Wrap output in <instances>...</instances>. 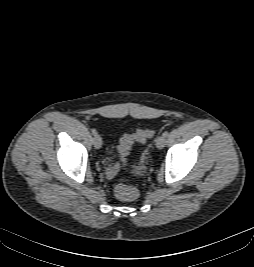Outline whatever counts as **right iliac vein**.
<instances>
[{
  "instance_id": "63e3f726",
  "label": "right iliac vein",
  "mask_w": 254,
  "mask_h": 267,
  "mask_svg": "<svg viewBox=\"0 0 254 267\" xmlns=\"http://www.w3.org/2000/svg\"><path fill=\"white\" fill-rule=\"evenodd\" d=\"M93 145L96 149H100L102 146V139L100 135H95L93 138Z\"/></svg>"
}]
</instances>
